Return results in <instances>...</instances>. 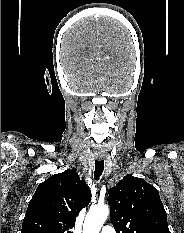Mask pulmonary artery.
<instances>
[{"label": "pulmonary artery", "mask_w": 184, "mask_h": 233, "mask_svg": "<svg viewBox=\"0 0 184 233\" xmlns=\"http://www.w3.org/2000/svg\"><path fill=\"white\" fill-rule=\"evenodd\" d=\"M101 233H116V231L112 226L106 225L102 227Z\"/></svg>", "instance_id": "pulmonary-artery-1"}]
</instances>
